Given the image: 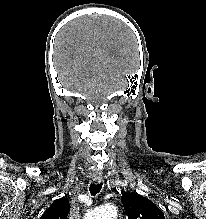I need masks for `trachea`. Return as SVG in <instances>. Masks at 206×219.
<instances>
[{"mask_svg": "<svg viewBox=\"0 0 206 219\" xmlns=\"http://www.w3.org/2000/svg\"><path fill=\"white\" fill-rule=\"evenodd\" d=\"M101 188H102V183H97V184L91 183L89 187V191L91 195L95 196L100 192Z\"/></svg>", "mask_w": 206, "mask_h": 219, "instance_id": "trachea-1", "label": "trachea"}]
</instances>
